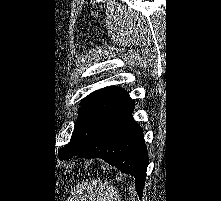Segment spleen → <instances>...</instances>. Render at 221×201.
<instances>
[{
	"label": "spleen",
	"instance_id": "3e777b00",
	"mask_svg": "<svg viewBox=\"0 0 221 201\" xmlns=\"http://www.w3.org/2000/svg\"><path fill=\"white\" fill-rule=\"evenodd\" d=\"M72 199L74 201H121V196L118 190L107 181L92 179L78 185Z\"/></svg>",
	"mask_w": 221,
	"mask_h": 201
}]
</instances>
